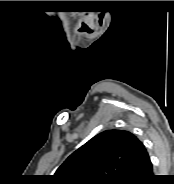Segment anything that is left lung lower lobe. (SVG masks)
I'll return each instance as SVG.
<instances>
[{
	"label": "left lung lower lobe",
	"mask_w": 174,
	"mask_h": 184,
	"mask_svg": "<svg viewBox=\"0 0 174 184\" xmlns=\"http://www.w3.org/2000/svg\"><path fill=\"white\" fill-rule=\"evenodd\" d=\"M154 179L148 153L141 144L132 164L128 181L125 184H151Z\"/></svg>",
	"instance_id": "1"
}]
</instances>
